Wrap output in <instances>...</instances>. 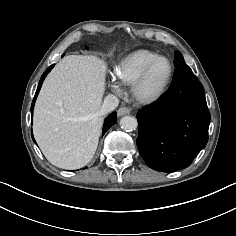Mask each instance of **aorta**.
<instances>
[{
    "label": "aorta",
    "instance_id": "762f6f07",
    "mask_svg": "<svg viewBox=\"0 0 236 236\" xmlns=\"http://www.w3.org/2000/svg\"><path fill=\"white\" fill-rule=\"evenodd\" d=\"M120 126L126 131L135 130L138 126L137 119L133 116H124L120 119Z\"/></svg>",
    "mask_w": 236,
    "mask_h": 236
}]
</instances>
